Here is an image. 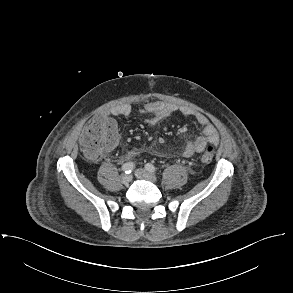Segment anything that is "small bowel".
I'll list each match as a JSON object with an SVG mask.
<instances>
[{
    "instance_id": "small-bowel-1",
    "label": "small bowel",
    "mask_w": 293,
    "mask_h": 293,
    "mask_svg": "<svg viewBox=\"0 0 293 293\" xmlns=\"http://www.w3.org/2000/svg\"><path fill=\"white\" fill-rule=\"evenodd\" d=\"M141 110L151 115V117L147 120L150 125H156L176 112H179L183 116H193L195 118L196 122L201 127L202 134L184 146L182 150V155L184 157H191L195 154L203 152L208 145H217L219 143V135L216 128L204 114L193 113L188 109H179L173 105L162 102H147L141 106ZM132 111L133 107L130 104H120L111 107L109 110L105 111L103 115L106 117H126L129 116ZM137 155V151L130 150L125 154V159H130Z\"/></svg>"
}]
</instances>
